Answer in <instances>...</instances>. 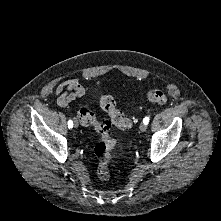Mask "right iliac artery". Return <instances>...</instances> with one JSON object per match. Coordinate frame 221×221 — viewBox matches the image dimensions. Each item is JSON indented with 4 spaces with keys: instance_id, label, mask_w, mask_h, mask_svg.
I'll list each match as a JSON object with an SVG mask.
<instances>
[{
    "instance_id": "82829eb1",
    "label": "right iliac artery",
    "mask_w": 221,
    "mask_h": 221,
    "mask_svg": "<svg viewBox=\"0 0 221 221\" xmlns=\"http://www.w3.org/2000/svg\"><path fill=\"white\" fill-rule=\"evenodd\" d=\"M73 127V121L72 120H69L68 121V128L70 129V128H72Z\"/></svg>"
}]
</instances>
